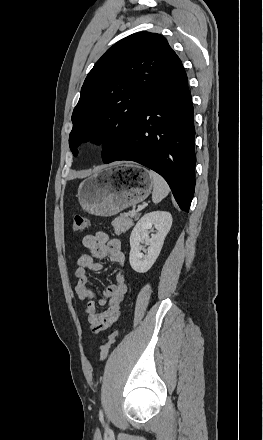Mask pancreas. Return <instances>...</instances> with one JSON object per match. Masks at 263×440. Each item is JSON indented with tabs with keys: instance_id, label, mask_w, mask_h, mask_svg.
<instances>
[{
	"instance_id": "pancreas-1",
	"label": "pancreas",
	"mask_w": 263,
	"mask_h": 440,
	"mask_svg": "<svg viewBox=\"0 0 263 440\" xmlns=\"http://www.w3.org/2000/svg\"><path fill=\"white\" fill-rule=\"evenodd\" d=\"M137 219V215L132 216L131 214H122L115 218L112 221V226L114 228L115 234L120 235L122 233H125L127 230H129L133 225V219Z\"/></svg>"
}]
</instances>
